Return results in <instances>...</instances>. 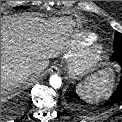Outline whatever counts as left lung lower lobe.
<instances>
[{
  "label": "left lung lower lobe",
  "mask_w": 122,
  "mask_h": 122,
  "mask_svg": "<svg viewBox=\"0 0 122 122\" xmlns=\"http://www.w3.org/2000/svg\"><path fill=\"white\" fill-rule=\"evenodd\" d=\"M111 61L117 62L121 67L122 72V51H115L110 58ZM122 102V75L119 85L117 86L115 92L110 98V104Z\"/></svg>",
  "instance_id": "obj_1"
}]
</instances>
